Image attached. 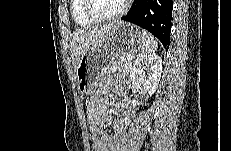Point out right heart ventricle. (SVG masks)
Returning <instances> with one entry per match:
<instances>
[{"label": "right heart ventricle", "mask_w": 231, "mask_h": 151, "mask_svg": "<svg viewBox=\"0 0 231 151\" xmlns=\"http://www.w3.org/2000/svg\"><path fill=\"white\" fill-rule=\"evenodd\" d=\"M85 0H73L71 9L75 22L81 26H89L94 23L85 13Z\"/></svg>", "instance_id": "right-heart-ventricle-1"}]
</instances>
